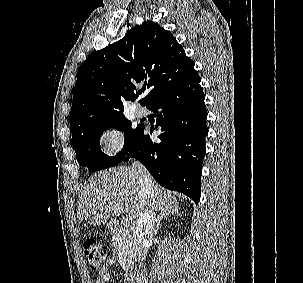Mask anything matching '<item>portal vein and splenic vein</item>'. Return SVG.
Listing matches in <instances>:
<instances>
[{
	"instance_id": "portal-vein-and-splenic-vein-1",
	"label": "portal vein and splenic vein",
	"mask_w": 303,
	"mask_h": 283,
	"mask_svg": "<svg viewBox=\"0 0 303 283\" xmlns=\"http://www.w3.org/2000/svg\"><path fill=\"white\" fill-rule=\"evenodd\" d=\"M118 212H119V209H114V213H118ZM121 224L124 227H128L130 225V222L127 218H123L122 221H121Z\"/></svg>"
}]
</instances>
